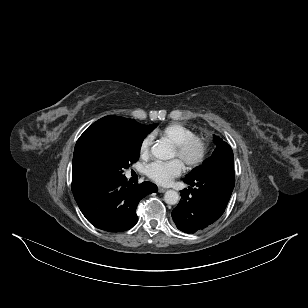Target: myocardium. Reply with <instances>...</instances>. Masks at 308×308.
Returning <instances> with one entry per match:
<instances>
[{
    "label": "myocardium",
    "mask_w": 308,
    "mask_h": 308,
    "mask_svg": "<svg viewBox=\"0 0 308 308\" xmlns=\"http://www.w3.org/2000/svg\"><path fill=\"white\" fill-rule=\"evenodd\" d=\"M197 147V153L190 157L189 152ZM177 157L183 161L188 169H194L203 164L209 152V141L203 135L194 134L175 146Z\"/></svg>",
    "instance_id": "obj_1"
}]
</instances>
